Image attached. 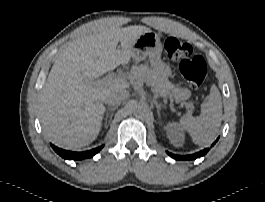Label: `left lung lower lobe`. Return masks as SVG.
<instances>
[{"instance_id": "obj_1", "label": "left lung lower lobe", "mask_w": 265, "mask_h": 202, "mask_svg": "<svg viewBox=\"0 0 265 202\" xmlns=\"http://www.w3.org/2000/svg\"><path fill=\"white\" fill-rule=\"evenodd\" d=\"M217 140L212 144V146L217 142ZM208 150L209 149L206 148V149H204L200 152H197L195 154L185 155V156L175 155V154H172L170 152H167V154L176 160H193V159L199 158L201 156H204L208 152Z\"/></svg>"}]
</instances>
